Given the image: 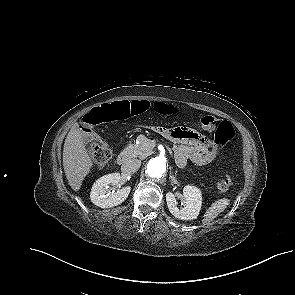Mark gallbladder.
I'll return each instance as SVG.
<instances>
[{"instance_id":"obj_1","label":"gallbladder","mask_w":295,"mask_h":295,"mask_svg":"<svg viewBox=\"0 0 295 295\" xmlns=\"http://www.w3.org/2000/svg\"><path fill=\"white\" fill-rule=\"evenodd\" d=\"M94 139V136L93 135H89L85 138V141L86 142H92V140Z\"/></svg>"}]
</instances>
